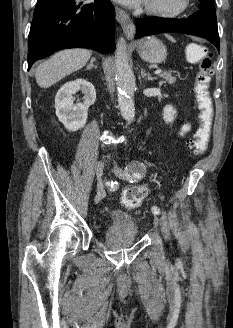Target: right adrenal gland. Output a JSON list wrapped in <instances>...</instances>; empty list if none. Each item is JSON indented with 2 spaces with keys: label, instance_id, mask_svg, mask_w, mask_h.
<instances>
[{
  "label": "right adrenal gland",
  "instance_id": "2a0ac1e0",
  "mask_svg": "<svg viewBox=\"0 0 233 328\" xmlns=\"http://www.w3.org/2000/svg\"><path fill=\"white\" fill-rule=\"evenodd\" d=\"M94 62H95V57H92L91 60H90V64L87 65V70H90L93 67L97 68V66L94 65Z\"/></svg>",
  "mask_w": 233,
  "mask_h": 328
}]
</instances>
